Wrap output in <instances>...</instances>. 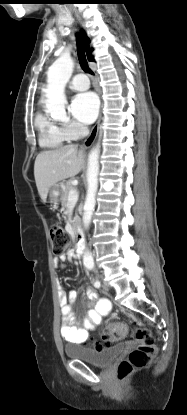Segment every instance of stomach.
Wrapping results in <instances>:
<instances>
[{
	"label": "stomach",
	"instance_id": "1",
	"mask_svg": "<svg viewBox=\"0 0 187 415\" xmlns=\"http://www.w3.org/2000/svg\"><path fill=\"white\" fill-rule=\"evenodd\" d=\"M61 194H62V186L60 184H55L50 188V190H49V203L53 207H57Z\"/></svg>",
	"mask_w": 187,
	"mask_h": 415
}]
</instances>
